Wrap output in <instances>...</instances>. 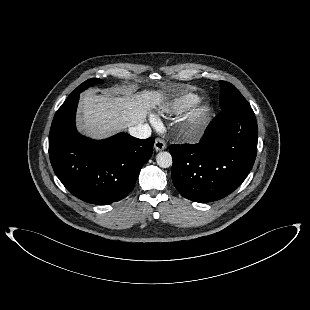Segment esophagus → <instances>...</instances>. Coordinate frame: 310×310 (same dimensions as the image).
<instances>
[{"label":"esophagus","instance_id":"esophagus-1","mask_svg":"<svg viewBox=\"0 0 310 310\" xmlns=\"http://www.w3.org/2000/svg\"><path fill=\"white\" fill-rule=\"evenodd\" d=\"M155 151H162L166 148V143L163 139L157 138L154 143Z\"/></svg>","mask_w":310,"mask_h":310}]
</instances>
